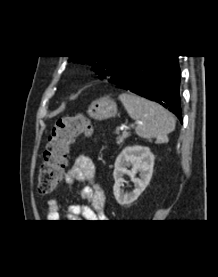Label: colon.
I'll list each match as a JSON object with an SVG mask.
<instances>
[{"label": "colon", "instance_id": "1", "mask_svg": "<svg viewBox=\"0 0 218 277\" xmlns=\"http://www.w3.org/2000/svg\"><path fill=\"white\" fill-rule=\"evenodd\" d=\"M93 125L82 113L57 120L48 140L44 161L38 175V190L41 194L52 192L62 179L70 146L80 135L91 136Z\"/></svg>", "mask_w": 218, "mask_h": 277}]
</instances>
